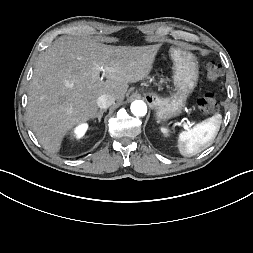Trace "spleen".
Returning a JSON list of instances; mask_svg holds the SVG:
<instances>
[{
  "instance_id": "obj_1",
  "label": "spleen",
  "mask_w": 253,
  "mask_h": 253,
  "mask_svg": "<svg viewBox=\"0 0 253 253\" xmlns=\"http://www.w3.org/2000/svg\"><path fill=\"white\" fill-rule=\"evenodd\" d=\"M222 116L215 114L188 131H182L178 135V149L183 156H192L203 149L216 136Z\"/></svg>"
}]
</instances>
